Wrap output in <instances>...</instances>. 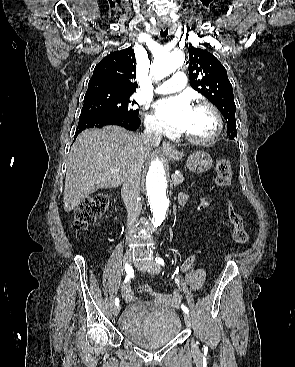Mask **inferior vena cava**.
Returning <instances> with one entry per match:
<instances>
[{
	"instance_id": "1",
	"label": "inferior vena cava",
	"mask_w": 295,
	"mask_h": 367,
	"mask_svg": "<svg viewBox=\"0 0 295 367\" xmlns=\"http://www.w3.org/2000/svg\"><path fill=\"white\" fill-rule=\"evenodd\" d=\"M161 137L162 130L156 124L146 126L142 134L143 141L149 147L158 145L161 141ZM140 179L141 177L136 173L128 175L123 182V187L121 190V195L128 213V235L126 238L127 241L137 230V224L135 222L140 215L142 209V205L138 201V197L140 194Z\"/></svg>"
}]
</instances>
